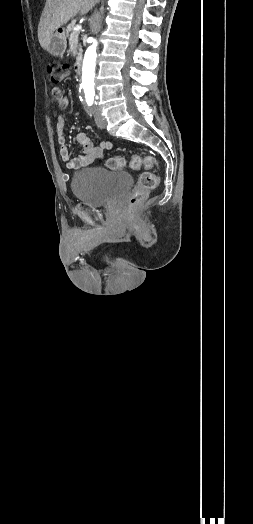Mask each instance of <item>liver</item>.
Segmentation results:
<instances>
[{
  "instance_id": "obj_1",
  "label": "liver",
  "mask_w": 253,
  "mask_h": 524,
  "mask_svg": "<svg viewBox=\"0 0 253 524\" xmlns=\"http://www.w3.org/2000/svg\"><path fill=\"white\" fill-rule=\"evenodd\" d=\"M100 0H46L38 25L41 47L47 49L55 30L78 13L87 14Z\"/></svg>"
}]
</instances>
